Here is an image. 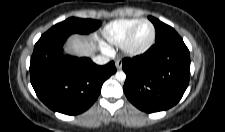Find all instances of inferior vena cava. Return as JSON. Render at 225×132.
<instances>
[{"label": "inferior vena cava", "mask_w": 225, "mask_h": 132, "mask_svg": "<svg viewBox=\"0 0 225 132\" xmlns=\"http://www.w3.org/2000/svg\"><path fill=\"white\" fill-rule=\"evenodd\" d=\"M109 61H110V59L107 56L98 55V56H95L93 58V62L96 63V64H98V65L107 64Z\"/></svg>", "instance_id": "obj_1"}]
</instances>
